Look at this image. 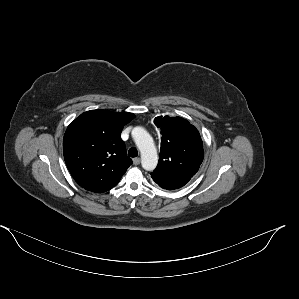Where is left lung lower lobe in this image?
I'll list each match as a JSON object with an SVG mask.
<instances>
[{
	"label": "left lung lower lobe",
	"mask_w": 299,
	"mask_h": 299,
	"mask_svg": "<svg viewBox=\"0 0 299 299\" xmlns=\"http://www.w3.org/2000/svg\"><path fill=\"white\" fill-rule=\"evenodd\" d=\"M152 179L163 189L174 190L183 187L187 184L191 176L188 175H179L171 177H161V176H151Z\"/></svg>",
	"instance_id": "1"
}]
</instances>
